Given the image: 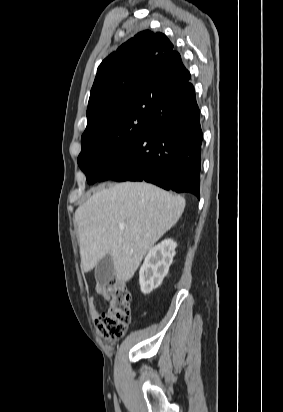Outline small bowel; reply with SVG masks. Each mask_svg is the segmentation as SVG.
Listing matches in <instances>:
<instances>
[{
    "label": "small bowel",
    "instance_id": "c3829d8e",
    "mask_svg": "<svg viewBox=\"0 0 283 412\" xmlns=\"http://www.w3.org/2000/svg\"><path fill=\"white\" fill-rule=\"evenodd\" d=\"M106 291L103 286L96 285L94 295L90 296L88 299L89 309L94 317H98L101 313L98 311V305L96 301V296H105Z\"/></svg>",
    "mask_w": 283,
    "mask_h": 412
}]
</instances>
